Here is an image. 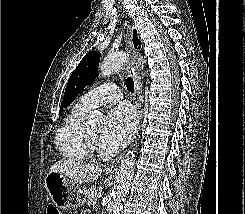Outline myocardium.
Listing matches in <instances>:
<instances>
[{"label":"myocardium","instance_id":"1","mask_svg":"<svg viewBox=\"0 0 245 214\" xmlns=\"http://www.w3.org/2000/svg\"><path fill=\"white\" fill-rule=\"evenodd\" d=\"M83 142L88 152H94L98 150L96 142L89 136L86 128L83 129Z\"/></svg>","mask_w":245,"mask_h":214}]
</instances>
